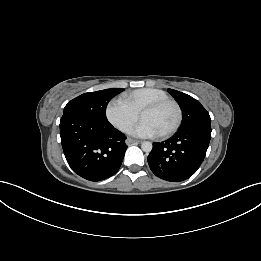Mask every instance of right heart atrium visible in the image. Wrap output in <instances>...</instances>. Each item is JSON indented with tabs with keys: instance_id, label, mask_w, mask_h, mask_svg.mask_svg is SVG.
I'll list each match as a JSON object with an SVG mask.
<instances>
[{
	"instance_id": "1",
	"label": "right heart atrium",
	"mask_w": 261,
	"mask_h": 261,
	"mask_svg": "<svg viewBox=\"0 0 261 261\" xmlns=\"http://www.w3.org/2000/svg\"><path fill=\"white\" fill-rule=\"evenodd\" d=\"M106 117L115 128L127 133L137 121L139 113L123 97H115L106 107Z\"/></svg>"
}]
</instances>
